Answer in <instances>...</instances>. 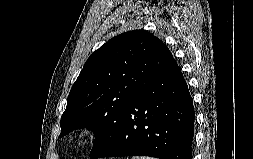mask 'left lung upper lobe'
<instances>
[{
    "label": "left lung upper lobe",
    "instance_id": "1",
    "mask_svg": "<svg viewBox=\"0 0 253 159\" xmlns=\"http://www.w3.org/2000/svg\"><path fill=\"white\" fill-rule=\"evenodd\" d=\"M167 46L144 30L113 37L86 61L73 84L60 121V137L86 127L96 134L94 147L109 136L123 109L173 60Z\"/></svg>",
    "mask_w": 253,
    "mask_h": 159
}]
</instances>
